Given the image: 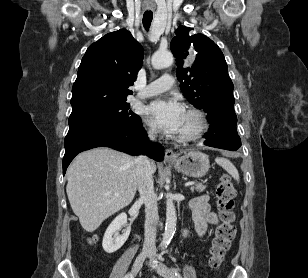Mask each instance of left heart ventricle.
<instances>
[{"label": "left heart ventricle", "mask_w": 308, "mask_h": 278, "mask_svg": "<svg viewBox=\"0 0 308 278\" xmlns=\"http://www.w3.org/2000/svg\"><path fill=\"white\" fill-rule=\"evenodd\" d=\"M196 126V120L195 118L185 111L184 119L181 125V128L179 130V133H185L193 130Z\"/></svg>", "instance_id": "obj_1"}]
</instances>
